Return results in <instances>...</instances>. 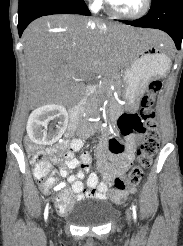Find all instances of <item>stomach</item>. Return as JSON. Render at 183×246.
Segmentation results:
<instances>
[{
    "label": "stomach",
    "instance_id": "1",
    "mask_svg": "<svg viewBox=\"0 0 183 246\" xmlns=\"http://www.w3.org/2000/svg\"><path fill=\"white\" fill-rule=\"evenodd\" d=\"M158 44L135 40L129 52V61L123 68V81L130 107L137 108L148 82L153 77L165 75L170 58ZM146 61V62H137Z\"/></svg>",
    "mask_w": 183,
    "mask_h": 246
}]
</instances>
